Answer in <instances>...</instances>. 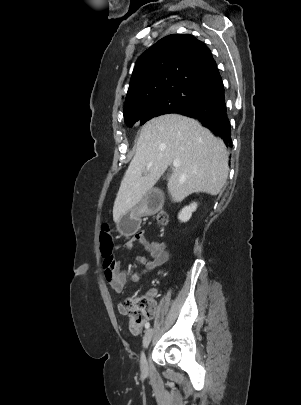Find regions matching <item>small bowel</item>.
Instances as JSON below:
<instances>
[{
	"mask_svg": "<svg viewBox=\"0 0 301 405\" xmlns=\"http://www.w3.org/2000/svg\"><path fill=\"white\" fill-rule=\"evenodd\" d=\"M134 243H139L148 252L149 256L138 255L136 259L139 263L145 266L146 269L152 270L157 266L162 265L168 260V252L165 245L159 241H150L146 238L144 232H137L130 240L122 243L120 248L131 250ZM104 279L116 295L123 293L128 283H136L140 281L139 273L128 274L122 267L119 259L113 258L110 266L104 265ZM157 295L155 288H150L146 291V299L153 301ZM120 314H125L123 305H118Z\"/></svg>",
	"mask_w": 301,
	"mask_h": 405,
	"instance_id": "1",
	"label": "small bowel"
}]
</instances>
